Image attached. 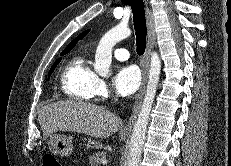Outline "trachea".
Wrapping results in <instances>:
<instances>
[{"instance_id": "trachea-1", "label": "trachea", "mask_w": 231, "mask_h": 166, "mask_svg": "<svg viewBox=\"0 0 231 166\" xmlns=\"http://www.w3.org/2000/svg\"><path fill=\"white\" fill-rule=\"evenodd\" d=\"M133 12V22L136 35L137 54L143 55L146 48V18L142 0H129Z\"/></svg>"}]
</instances>
